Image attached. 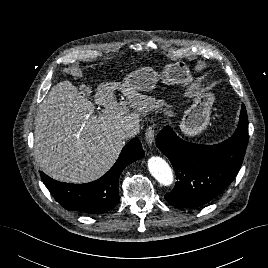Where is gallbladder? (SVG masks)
Returning a JSON list of instances; mask_svg holds the SVG:
<instances>
[{
	"label": "gallbladder",
	"mask_w": 268,
	"mask_h": 268,
	"mask_svg": "<svg viewBox=\"0 0 268 268\" xmlns=\"http://www.w3.org/2000/svg\"><path fill=\"white\" fill-rule=\"evenodd\" d=\"M81 93L83 95H88L90 93V88L89 87H82L81 88Z\"/></svg>",
	"instance_id": "obj_1"
}]
</instances>
